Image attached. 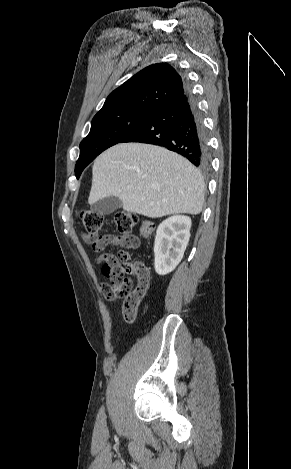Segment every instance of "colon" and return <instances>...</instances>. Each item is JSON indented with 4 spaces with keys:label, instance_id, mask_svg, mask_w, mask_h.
Listing matches in <instances>:
<instances>
[{
    "label": "colon",
    "instance_id": "obj_1",
    "mask_svg": "<svg viewBox=\"0 0 291 469\" xmlns=\"http://www.w3.org/2000/svg\"><path fill=\"white\" fill-rule=\"evenodd\" d=\"M86 230V236L93 245V249L101 253L107 245H120L133 247L134 240L130 233L138 225L139 217L132 212H118L114 217L116 233L105 234V219L100 213L84 210L80 213ZM154 225L150 220L144 219L140 223V234L144 238L152 235ZM103 272L112 285L103 283L101 290L110 300L123 299L122 313L127 322L136 318L138 306L144 297L145 291L137 285L134 287V278L138 281L147 276L146 268L130 260L128 252L122 251L118 257L101 259Z\"/></svg>",
    "mask_w": 291,
    "mask_h": 469
}]
</instances>
